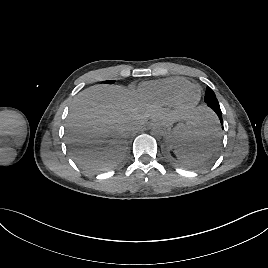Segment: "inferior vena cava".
Listing matches in <instances>:
<instances>
[{
	"label": "inferior vena cava",
	"instance_id": "inferior-vena-cava-1",
	"mask_svg": "<svg viewBox=\"0 0 268 268\" xmlns=\"http://www.w3.org/2000/svg\"><path fill=\"white\" fill-rule=\"evenodd\" d=\"M136 126V125H135ZM136 127H134L133 129H132V131H134V129H135Z\"/></svg>",
	"mask_w": 268,
	"mask_h": 268
}]
</instances>
